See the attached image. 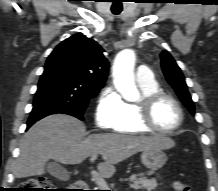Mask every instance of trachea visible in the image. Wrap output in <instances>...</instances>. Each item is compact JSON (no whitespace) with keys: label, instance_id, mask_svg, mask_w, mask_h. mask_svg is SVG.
<instances>
[{"label":"trachea","instance_id":"1","mask_svg":"<svg viewBox=\"0 0 218 191\" xmlns=\"http://www.w3.org/2000/svg\"><path fill=\"white\" fill-rule=\"evenodd\" d=\"M111 10H112V13L115 15H118L122 11V9H118V8H112Z\"/></svg>","mask_w":218,"mask_h":191}]
</instances>
